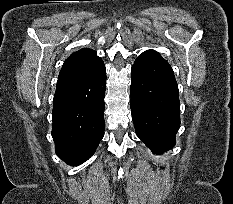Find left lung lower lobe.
I'll return each mask as SVG.
<instances>
[{
    "mask_svg": "<svg viewBox=\"0 0 233 204\" xmlns=\"http://www.w3.org/2000/svg\"><path fill=\"white\" fill-rule=\"evenodd\" d=\"M178 85L158 52H143L131 69V112L137 136L154 153L173 148L180 127Z\"/></svg>",
    "mask_w": 233,
    "mask_h": 204,
    "instance_id": "1",
    "label": "left lung lower lobe"
}]
</instances>
